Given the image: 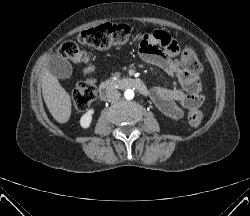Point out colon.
Segmentation results:
<instances>
[{"label": "colon", "mask_w": 250, "mask_h": 216, "mask_svg": "<svg viewBox=\"0 0 250 216\" xmlns=\"http://www.w3.org/2000/svg\"><path fill=\"white\" fill-rule=\"evenodd\" d=\"M132 37L131 27L124 24H103L80 33V44L96 49H107L126 45ZM59 55L73 63L82 64L87 72L92 70L88 54L78 43L67 41L59 49ZM180 65L191 74L201 72L202 66L195 50L185 47L180 55ZM96 86L92 81L79 83L72 92V102L76 110L85 111L96 98ZM204 113L200 107L191 109L187 119L190 125L201 123Z\"/></svg>", "instance_id": "colon-1"}]
</instances>
